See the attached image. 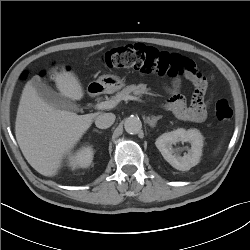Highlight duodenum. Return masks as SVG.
I'll return each instance as SVG.
<instances>
[{"label":"duodenum","mask_w":250,"mask_h":250,"mask_svg":"<svg viewBox=\"0 0 250 250\" xmlns=\"http://www.w3.org/2000/svg\"><path fill=\"white\" fill-rule=\"evenodd\" d=\"M103 87L99 84H93L88 88V95L91 98H95L101 91Z\"/></svg>","instance_id":"duodenum-1"}]
</instances>
